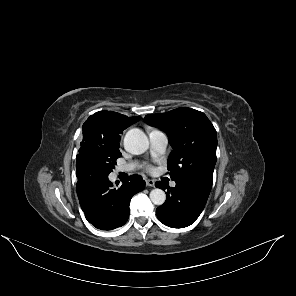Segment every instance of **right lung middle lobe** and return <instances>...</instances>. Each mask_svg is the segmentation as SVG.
Listing matches in <instances>:
<instances>
[{"label": "right lung middle lobe", "mask_w": 296, "mask_h": 296, "mask_svg": "<svg viewBox=\"0 0 296 296\" xmlns=\"http://www.w3.org/2000/svg\"><path fill=\"white\" fill-rule=\"evenodd\" d=\"M119 141L120 138L105 142L92 139L85 140L83 138L79 154L94 159L109 174L116 165V160L121 157Z\"/></svg>", "instance_id": "dd1d6c3e"}]
</instances>
